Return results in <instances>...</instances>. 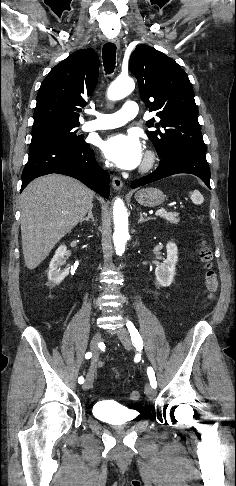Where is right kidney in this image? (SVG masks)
Segmentation results:
<instances>
[{
    "mask_svg": "<svg viewBox=\"0 0 236 486\" xmlns=\"http://www.w3.org/2000/svg\"><path fill=\"white\" fill-rule=\"evenodd\" d=\"M66 251L67 247L65 245L59 246L49 264L48 279L53 285L60 284L69 274L68 269L61 271L59 268L65 262Z\"/></svg>",
    "mask_w": 236,
    "mask_h": 486,
    "instance_id": "obj_1",
    "label": "right kidney"
}]
</instances>
